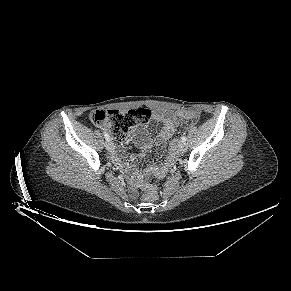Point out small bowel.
<instances>
[{
    "instance_id": "c3829d8e",
    "label": "small bowel",
    "mask_w": 291,
    "mask_h": 291,
    "mask_svg": "<svg viewBox=\"0 0 291 291\" xmlns=\"http://www.w3.org/2000/svg\"><path fill=\"white\" fill-rule=\"evenodd\" d=\"M153 118L155 121L160 123L162 125V131L160 134L155 138L154 142L157 145H164L166 144L173 136L175 131L174 126V117L173 115L166 111V110H156L153 114ZM132 138L136 145L142 150V153L140 155H143V153L150 147L151 141L148 136V134L145 131L138 130L133 132ZM115 160L119 161V158L115 156ZM170 164V161H167L163 166H151L145 171V175H156V176H162L166 172L168 166ZM143 179V176L139 173H135L132 176V182L134 184H137L141 182Z\"/></svg>"
}]
</instances>
